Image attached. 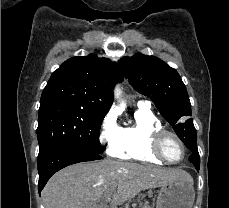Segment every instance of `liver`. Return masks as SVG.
Segmentation results:
<instances>
[{"label": "liver", "instance_id": "obj_1", "mask_svg": "<svg viewBox=\"0 0 229 208\" xmlns=\"http://www.w3.org/2000/svg\"><path fill=\"white\" fill-rule=\"evenodd\" d=\"M174 180L193 184L190 174L178 168L114 160L81 162L54 174L41 198L45 208H109L107 202L124 204L142 190L160 188Z\"/></svg>", "mask_w": 229, "mask_h": 208}]
</instances>
